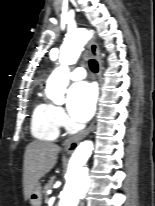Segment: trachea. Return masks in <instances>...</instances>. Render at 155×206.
<instances>
[{
	"label": "trachea",
	"mask_w": 155,
	"mask_h": 206,
	"mask_svg": "<svg viewBox=\"0 0 155 206\" xmlns=\"http://www.w3.org/2000/svg\"><path fill=\"white\" fill-rule=\"evenodd\" d=\"M89 67L91 69L92 72L97 73L98 72V63L96 60L91 59L89 61Z\"/></svg>",
	"instance_id": "1"
}]
</instances>
